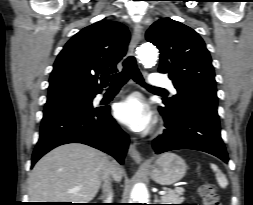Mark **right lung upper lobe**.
Here are the masks:
<instances>
[{"instance_id": "obj_1", "label": "right lung upper lobe", "mask_w": 253, "mask_h": 205, "mask_svg": "<svg viewBox=\"0 0 253 205\" xmlns=\"http://www.w3.org/2000/svg\"><path fill=\"white\" fill-rule=\"evenodd\" d=\"M130 34L119 22L102 20L74 35L59 53L49 80L47 102L95 96L126 54Z\"/></svg>"}]
</instances>
